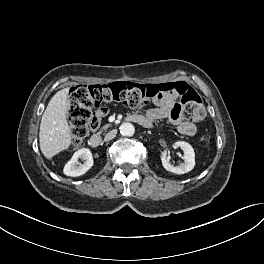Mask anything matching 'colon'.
<instances>
[{
  "instance_id": "5ec220e1",
  "label": "colon",
  "mask_w": 264,
  "mask_h": 264,
  "mask_svg": "<svg viewBox=\"0 0 264 264\" xmlns=\"http://www.w3.org/2000/svg\"><path fill=\"white\" fill-rule=\"evenodd\" d=\"M167 95H176L181 115L185 120L203 119L205 109L201 97L183 81L162 84L118 81L104 85L73 87L68 108L72 143L80 145L90 130L98 128L101 113L107 105L118 103L140 108Z\"/></svg>"
}]
</instances>
